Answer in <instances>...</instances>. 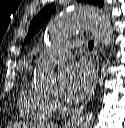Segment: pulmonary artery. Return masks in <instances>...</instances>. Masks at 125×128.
Returning a JSON list of instances; mask_svg holds the SVG:
<instances>
[{
  "instance_id": "pulmonary-artery-1",
  "label": "pulmonary artery",
  "mask_w": 125,
  "mask_h": 128,
  "mask_svg": "<svg viewBox=\"0 0 125 128\" xmlns=\"http://www.w3.org/2000/svg\"><path fill=\"white\" fill-rule=\"evenodd\" d=\"M74 46H77V43L60 42V43L52 44L49 48L39 53L40 54L39 58H45L51 61L68 59L72 54Z\"/></svg>"
}]
</instances>
